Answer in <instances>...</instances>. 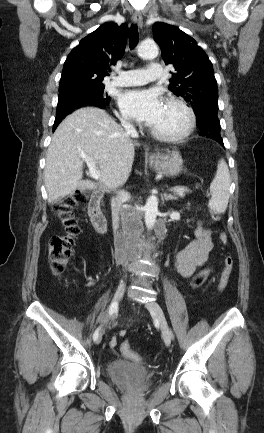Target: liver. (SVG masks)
I'll use <instances>...</instances> for the list:
<instances>
[{
	"instance_id": "1",
	"label": "liver",
	"mask_w": 264,
	"mask_h": 433,
	"mask_svg": "<svg viewBox=\"0 0 264 433\" xmlns=\"http://www.w3.org/2000/svg\"><path fill=\"white\" fill-rule=\"evenodd\" d=\"M139 143L104 110L81 108L68 115L56 129L48 148L44 169L48 202L79 190L116 188L131 172ZM84 154L99 168V182L83 180Z\"/></svg>"
}]
</instances>
